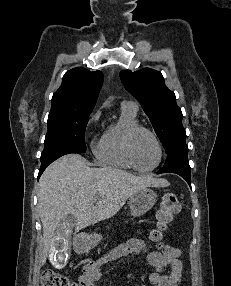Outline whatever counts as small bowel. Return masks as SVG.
Listing matches in <instances>:
<instances>
[{
	"instance_id": "c3829d8e",
	"label": "small bowel",
	"mask_w": 231,
	"mask_h": 286,
	"mask_svg": "<svg viewBox=\"0 0 231 286\" xmlns=\"http://www.w3.org/2000/svg\"><path fill=\"white\" fill-rule=\"evenodd\" d=\"M146 252L147 261L154 271L149 280L153 286H178L181 280L183 265L179 248L159 242L155 250H148L140 235L111 250L101 258L87 262L82 267L79 278L80 286H94L102 278V267L109 261L128 256L133 253ZM170 268L168 274L163 271ZM149 286V285H142Z\"/></svg>"
}]
</instances>
